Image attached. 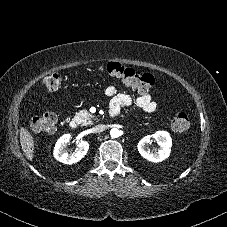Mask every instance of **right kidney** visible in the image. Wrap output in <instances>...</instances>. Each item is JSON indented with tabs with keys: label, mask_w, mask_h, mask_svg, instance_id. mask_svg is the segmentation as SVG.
Returning <instances> with one entry per match:
<instances>
[{
	"label": "right kidney",
	"mask_w": 227,
	"mask_h": 227,
	"mask_svg": "<svg viewBox=\"0 0 227 227\" xmlns=\"http://www.w3.org/2000/svg\"><path fill=\"white\" fill-rule=\"evenodd\" d=\"M71 140L70 134H64L58 139L55 144L53 155L56 160L64 164H73L80 161L87 153L89 149V143L81 140L78 142L77 150L74 153L69 154L66 150L67 144Z\"/></svg>",
	"instance_id": "right-kidney-1"
}]
</instances>
